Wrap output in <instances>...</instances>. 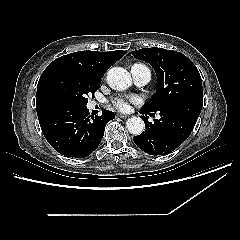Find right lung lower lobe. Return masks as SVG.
I'll list each match as a JSON object with an SVG mask.
<instances>
[{
  "label": "right lung lower lobe",
  "instance_id": "1",
  "mask_svg": "<svg viewBox=\"0 0 240 240\" xmlns=\"http://www.w3.org/2000/svg\"><path fill=\"white\" fill-rule=\"evenodd\" d=\"M87 107L63 105L38 115L41 130L48 143L66 157L83 158L100 144L106 124L115 118L113 112L91 117ZM91 117V118H90Z\"/></svg>",
  "mask_w": 240,
  "mask_h": 240
}]
</instances>
